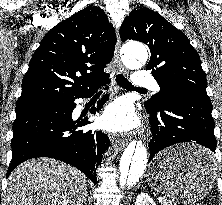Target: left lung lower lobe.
Wrapping results in <instances>:
<instances>
[{
    "instance_id": "1",
    "label": "left lung lower lobe",
    "mask_w": 222,
    "mask_h": 205,
    "mask_svg": "<svg viewBox=\"0 0 222 205\" xmlns=\"http://www.w3.org/2000/svg\"><path fill=\"white\" fill-rule=\"evenodd\" d=\"M211 112L209 98L184 91L167 93L159 111L147 110L152 131L148 162L169 146L190 142L207 149L205 153L194 154L191 160L202 165L212 164L216 138Z\"/></svg>"
}]
</instances>
